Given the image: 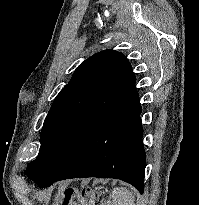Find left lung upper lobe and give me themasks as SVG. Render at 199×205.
Segmentation results:
<instances>
[{
	"mask_svg": "<svg viewBox=\"0 0 199 205\" xmlns=\"http://www.w3.org/2000/svg\"><path fill=\"white\" fill-rule=\"evenodd\" d=\"M135 74L126 57L105 50L83 61L45 118L37 158L27 176L38 185L61 176L96 126L129 94Z\"/></svg>",
	"mask_w": 199,
	"mask_h": 205,
	"instance_id": "obj_1",
	"label": "left lung upper lobe"
}]
</instances>
